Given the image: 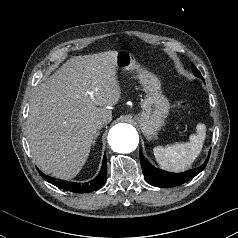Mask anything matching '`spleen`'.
I'll return each mask as SVG.
<instances>
[{"instance_id": "1", "label": "spleen", "mask_w": 238, "mask_h": 238, "mask_svg": "<svg viewBox=\"0 0 238 238\" xmlns=\"http://www.w3.org/2000/svg\"><path fill=\"white\" fill-rule=\"evenodd\" d=\"M196 128L197 133L190 136V142L157 146L153 149L154 156L162 168L179 172L191 166L201 153L206 137L204 124L199 123Z\"/></svg>"}]
</instances>
